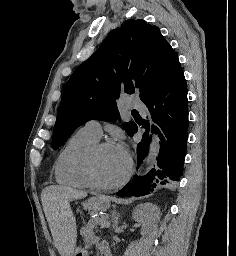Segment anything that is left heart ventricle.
Segmentation results:
<instances>
[{
    "instance_id": "left-heart-ventricle-1",
    "label": "left heart ventricle",
    "mask_w": 236,
    "mask_h": 256,
    "mask_svg": "<svg viewBox=\"0 0 236 256\" xmlns=\"http://www.w3.org/2000/svg\"><path fill=\"white\" fill-rule=\"evenodd\" d=\"M127 167V157L116 151L114 146L104 149L96 160V173L100 182L111 184L119 180Z\"/></svg>"
}]
</instances>
